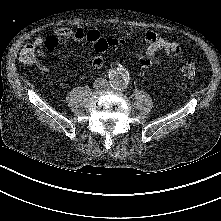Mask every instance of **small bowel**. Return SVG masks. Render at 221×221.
Here are the masks:
<instances>
[{"label": "small bowel", "mask_w": 221, "mask_h": 221, "mask_svg": "<svg viewBox=\"0 0 221 221\" xmlns=\"http://www.w3.org/2000/svg\"><path fill=\"white\" fill-rule=\"evenodd\" d=\"M125 37L130 40H136L137 36L132 32H125ZM63 38H71L76 42L88 41L95 44L102 37L101 33L97 30H85L83 28L71 29L69 27H61L52 32V34L47 37H36L34 39V45L37 48H41L43 45L48 47L56 46ZM144 40L147 44L146 51L143 54L138 55V63L142 68L153 67L157 62V54L160 51H164L169 55H176L179 53V45L169 40L168 38L156 33L147 32L144 36ZM43 56L42 52H39ZM104 57L103 53L96 55L91 61V67L94 69H99L103 66ZM37 67L40 71L46 72L48 67L43 63H38Z\"/></svg>", "instance_id": "obj_1"}]
</instances>
